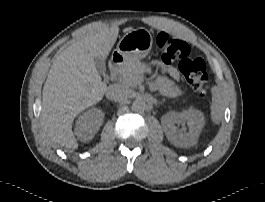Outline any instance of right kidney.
<instances>
[{"label": "right kidney", "mask_w": 265, "mask_h": 202, "mask_svg": "<svg viewBox=\"0 0 265 202\" xmlns=\"http://www.w3.org/2000/svg\"><path fill=\"white\" fill-rule=\"evenodd\" d=\"M104 119V113L98 108H92L79 116L76 121L75 134L79 140L87 142L98 132Z\"/></svg>", "instance_id": "right-kidney-1"}]
</instances>
